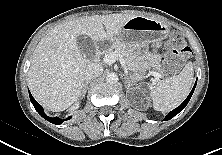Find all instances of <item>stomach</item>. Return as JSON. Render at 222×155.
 <instances>
[{
  "label": "stomach",
  "mask_w": 222,
  "mask_h": 155,
  "mask_svg": "<svg viewBox=\"0 0 222 155\" xmlns=\"http://www.w3.org/2000/svg\"><path fill=\"white\" fill-rule=\"evenodd\" d=\"M169 26L159 20L135 16L128 21L118 34L117 42L124 45L136 47L137 45H159L169 34ZM136 58L140 63L130 69V79L132 82L142 79L151 68L146 62H150V57H144V52L134 50Z\"/></svg>",
  "instance_id": "stomach-1"
}]
</instances>
